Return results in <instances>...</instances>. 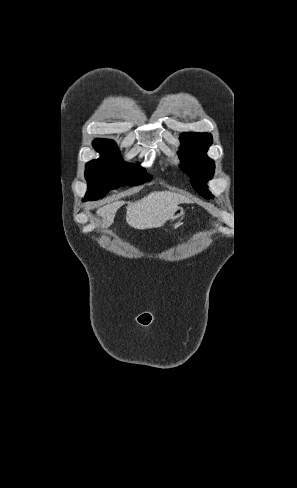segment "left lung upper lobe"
<instances>
[{
  "label": "left lung upper lobe",
  "instance_id": "5c2ea615",
  "mask_svg": "<svg viewBox=\"0 0 297 488\" xmlns=\"http://www.w3.org/2000/svg\"><path fill=\"white\" fill-rule=\"evenodd\" d=\"M181 150L178 152L181 162L186 166L182 170L190 177L193 188L204 198L213 197L205 181L214 174V161L206 152L212 144V135L208 133H182L179 137Z\"/></svg>",
  "mask_w": 297,
  "mask_h": 488
}]
</instances>
